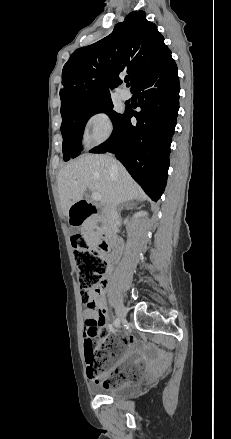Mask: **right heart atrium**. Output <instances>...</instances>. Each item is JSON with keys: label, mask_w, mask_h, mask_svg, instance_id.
<instances>
[{"label": "right heart atrium", "mask_w": 231, "mask_h": 439, "mask_svg": "<svg viewBox=\"0 0 231 439\" xmlns=\"http://www.w3.org/2000/svg\"><path fill=\"white\" fill-rule=\"evenodd\" d=\"M112 123L104 110L93 111L84 124L83 137L89 145H99L109 139Z\"/></svg>", "instance_id": "1"}]
</instances>
